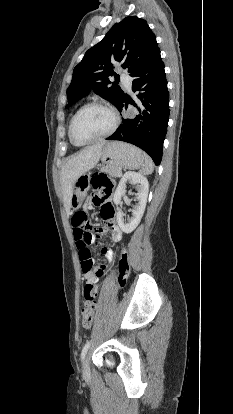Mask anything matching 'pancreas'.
Returning <instances> with one entry per match:
<instances>
[{
    "mask_svg": "<svg viewBox=\"0 0 233 414\" xmlns=\"http://www.w3.org/2000/svg\"><path fill=\"white\" fill-rule=\"evenodd\" d=\"M103 171H106L112 177H121V170L119 168H103Z\"/></svg>",
    "mask_w": 233,
    "mask_h": 414,
    "instance_id": "1",
    "label": "pancreas"
}]
</instances>
